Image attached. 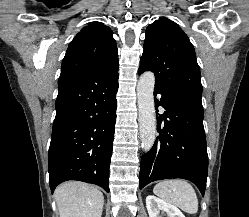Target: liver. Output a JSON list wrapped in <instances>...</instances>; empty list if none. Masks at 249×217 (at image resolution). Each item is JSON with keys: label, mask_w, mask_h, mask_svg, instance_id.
<instances>
[{"label": "liver", "mask_w": 249, "mask_h": 217, "mask_svg": "<svg viewBox=\"0 0 249 217\" xmlns=\"http://www.w3.org/2000/svg\"><path fill=\"white\" fill-rule=\"evenodd\" d=\"M60 217H101L104 196L95 186L65 182L55 190Z\"/></svg>", "instance_id": "6515ba94"}]
</instances>
